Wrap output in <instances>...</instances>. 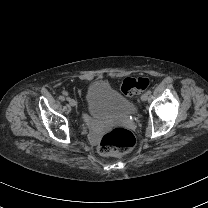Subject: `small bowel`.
Masks as SVG:
<instances>
[{
  "instance_id": "small-bowel-1",
  "label": "small bowel",
  "mask_w": 208,
  "mask_h": 208,
  "mask_svg": "<svg viewBox=\"0 0 208 208\" xmlns=\"http://www.w3.org/2000/svg\"><path fill=\"white\" fill-rule=\"evenodd\" d=\"M71 88H74V92L77 94V96L81 99V119L84 121L87 129L89 130V133L94 137L97 138L100 135V132L94 128V125L92 124L91 120L88 118V96L81 91L80 85L78 83H75L74 81H67L63 84L62 90L66 92L68 96H71L73 94V91ZM64 113L66 115H69L71 113V110L69 108H66L64 110ZM111 119L109 117H106L104 121L98 126V129L100 131H103L110 125Z\"/></svg>"
}]
</instances>
